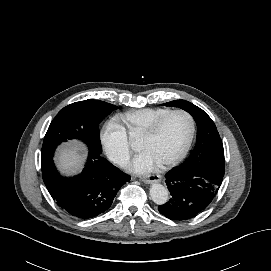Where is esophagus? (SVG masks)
Masks as SVG:
<instances>
[{
  "label": "esophagus",
  "instance_id": "1",
  "mask_svg": "<svg viewBox=\"0 0 271 271\" xmlns=\"http://www.w3.org/2000/svg\"><path fill=\"white\" fill-rule=\"evenodd\" d=\"M161 176L157 174L149 175V176H144L141 177L140 180L146 184H150L153 182H160L161 181Z\"/></svg>",
  "mask_w": 271,
  "mask_h": 271
}]
</instances>
